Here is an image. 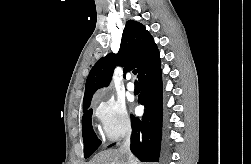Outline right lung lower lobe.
I'll return each instance as SVG.
<instances>
[{"label":"right lung lower lobe","instance_id":"98d812e1","mask_svg":"<svg viewBox=\"0 0 251 164\" xmlns=\"http://www.w3.org/2000/svg\"><path fill=\"white\" fill-rule=\"evenodd\" d=\"M139 103L145 107L143 117L131 115V151L141 162H158L162 136V76L160 64L139 79Z\"/></svg>","mask_w":251,"mask_h":164}]
</instances>
